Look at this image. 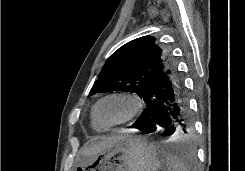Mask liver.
<instances>
[{
    "label": "liver",
    "instance_id": "liver-1",
    "mask_svg": "<svg viewBox=\"0 0 245 171\" xmlns=\"http://www.w3.org/2000/svg\"><path fill=\"white\" fill-rule=\"evenodd\" d=\"M121 137L122 135L103 138L100 141L83 148L80 151V155L82 157L97 155L98 153L111 148Z\"/></svg>",
    "mask_w": 245,
    "mask_h": 171
}]
</instances>
